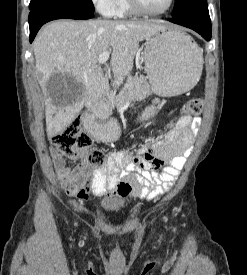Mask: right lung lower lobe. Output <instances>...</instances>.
Returning <instances> with one entry per match:
<instances>
[{
	"instance_id": "right-lung-lower-lobe-1",
	"label": "right lung lower lobe",
	"mask_w": 247,
	"mask_h": 275,
	"mask_svg": "<svg viewBox=\"0 0 247 275\" xmlns=\"http://www.w3.org/2000/svg\"><path fill=\"white\" fill-rule=\"evenodd\" d=\"M94 14L87 11H79L66 8L65 6H49L32 10L29 13L30 42H32L43 24L55 19H78L93 18Z\"/></svg>"
}]
</instances>
